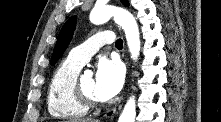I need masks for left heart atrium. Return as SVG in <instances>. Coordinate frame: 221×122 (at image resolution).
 <instances>
[{"label": "left heart atrium", "instance_id": "left-heart-atrium-1", "mask_svg": "<svg viewBox=\"0 0 221 122\" xmlns=\"http://www.w3.org/2000/svg\"><path fill=\"white\" fill-rule=\"evenodd\" d=\"M124 81V70L116 59L102 58L97 65L94 95L99 101H107L119 93Z\"/></svg>", "mask_w": 221, "mask_h": 122}]
</instances>
